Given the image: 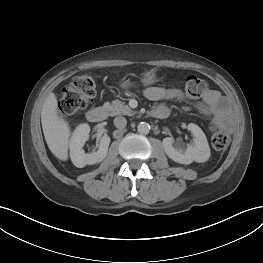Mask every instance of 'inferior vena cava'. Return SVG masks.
<instances>
[{"instance_id":"inferior-vena-cava-1","label":"inferior vena cava","mask_w":263,"mask_h":263,"mask_svg":"<svg viewBox=\"0 0 263 263\" xmlns=\"http://www.w3.org/2000/svg\"><path fill=\"white\" fill-rule=\"evenodd\" d=\"M114 125L119 129H124L127 125V120L123 116H117L114 118Z\"/></svg>"}]
</instances>
